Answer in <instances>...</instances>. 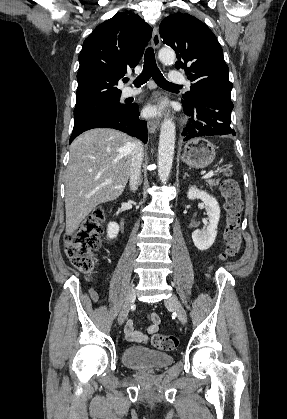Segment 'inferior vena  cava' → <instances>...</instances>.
<instances>
[{
  "mask_svg": "<svg viewBox=\"0 0 287 419\" xmlns=\"http://www.w3.org/2000/svg\"><path fill=\"white\" fill-rule=\"evenodd\" d=\"M134 151L131 157V167L129 174V185L131 190L135 191L138 188L141 180V164L143 160V145L140 141H134Z\"/></svg>",
  "mask_w": 287,
  "mask_h": 419,
  "instance_id": "602c4592",
  "label": "inferior vena cava"
}]
</instances>
